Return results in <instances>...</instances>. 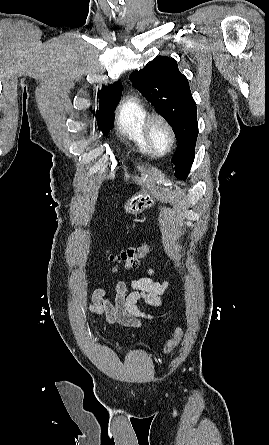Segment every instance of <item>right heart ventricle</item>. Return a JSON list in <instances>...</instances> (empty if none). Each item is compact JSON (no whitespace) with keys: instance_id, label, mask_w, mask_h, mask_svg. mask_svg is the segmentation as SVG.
Segmentation results:
<instances>
[{"instance_id":"right-heart-ventricle-1","label":"right heart ventricle","mask_w":269,"mask_h":445,"mask_svg":"<svg viewBox=\"0 0 269 445\" xmlns=\"http://www.w3.org/2000/svg\"><path fill=\"white\" fill-rule=\"evenodd\" d=\"M149 116L148 108L136 97H128L117 114V128L120 134L145 155L153 154L144 138V124Z\"/></svg>"}]
</instances>
